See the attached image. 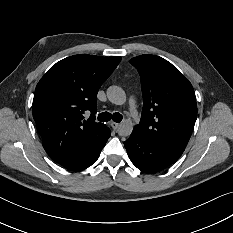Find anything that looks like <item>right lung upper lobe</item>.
Masks as SVG:
<instances>
[{"instance_id": "obj_1", "label": "right lung upper lobe", "mask_w": 233, "mask_h": 233, "mask_svg": "<svg viewBox=\"0 0 233 233\" xmlns=\"http://www.w3.org/2000/svg\"><path fill=\"white\" fill-rule=\"evenodd\" d=\"M120 60L74 55L53 65L37 84L33 118L45 151L56 163L82 155L105 137L109 128L95 122L96 96ZM85 112L91 114L87 120Z\"/></svg>"}]
</instances>
